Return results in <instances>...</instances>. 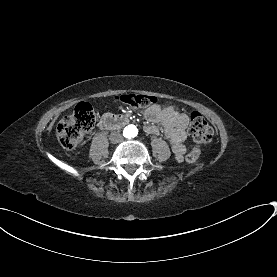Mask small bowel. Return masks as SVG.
Returning <instances> with one entry per match:
<instances>
[{
    "instance_id": "1",
    "label": "small bowel",
    "mask_w": 277,
    "mask_h": 277,
    "mask_svg": "<svg viewBox=\"0 0 277 277\" xmlns=\"http://www.w3.org/2000/svg\"><path fill=\"white\" fill-rule=\"evenodd\" d=\"M144 117L150 122L145 127V132L159 135L160 129L157 124L160 125L172 145L175 159L181 161L186 151L188 116L180 112L174 104H154L144 111Z\"/></svg>"
}]
</instances>
